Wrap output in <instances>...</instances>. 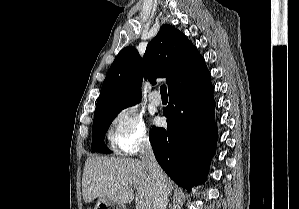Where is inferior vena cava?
<instances>
[{
    "label": "inferior vena cava",
    "instance_id": "1",
    "mask_svg": "<svg viewBox=\"0 0 299 209\" xmlns=\"http://www.w3.org/2000/svg\"><path fill=\"white\" fill-rule=\"evenodd\" d=\"M140 159L149 170L157 190V198L153 203V209H166L168 192L165 185V173L157 163L153 149L147 138L141 143Z\"/></svg>",
    "mask_w": 299,
    "mask_h": 209
}]
</instances>
